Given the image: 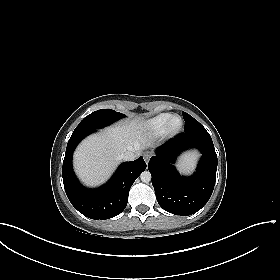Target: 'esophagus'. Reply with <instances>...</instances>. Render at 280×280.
<instances>
[{"mask_svg": "<svg viewBox=\"0 0 280 280\" xmlns=\"http://www.w3.org/2000/svg\"><path fill=\"white\" fill-rule=\"evenodd\" d=\"M150 157H151V154H150L149 152H146V153L144 154V160H145L146 163L149 162Z\"/></svg>", "mask_w": 280, "mask_h": 280, "instance_id": "esophagus-1", "label": "esophagus"}]
</instances>
